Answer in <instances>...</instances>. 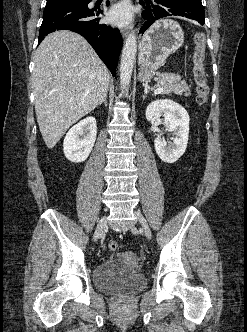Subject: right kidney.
<instances>
[{
	"mask_svg": "<svg viewBox=\"0 0 247 332\" xmlns=\"http://www.w3.org/2000/svg\"><path fill=\"white\" fill-rule=\"evenodd\" d=\"M97 135L96 120L87 117L74 125L63 142L65 157L75 163L85 161L91 153Z\"/></svg>",
	"mask_w": 247,
	"mask_h": 332,
	"instance_id": "right-kidney-1",
	"label": "right kidney"
}]
</instances>
